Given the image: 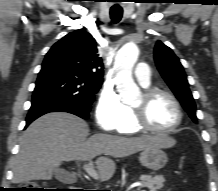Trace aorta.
I'll return each mask as SVG.
<instances>
[{"instance_id":"1","label":"aorta","mask_w":218,"mask_h":191,"mask_svg":"<svg viewBox=\"0 0 218 191\" xmlns=\"http://www.w3.org/2000/svg\"><path fill=\"white\" fill-rule=\"evenodd\" d=\"M139 55L138 47L134 43L125 44L116 54L115 83L123 103L131 104L139 95V87L132 77V69Z\"/></svg>"}]
</instances>
